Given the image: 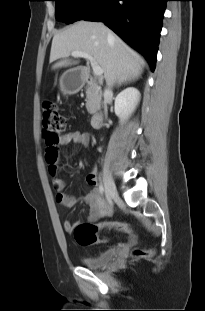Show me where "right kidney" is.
<instances>
[{
  "label": "right kidney",
  "instance_id": "ca27d5eb",
  "mask_svg": "<svg viewBox=\"0 0 205 311\" xmlns=\"http://www.w3.org/2000/svg\"><path fill=\"white\" fill-rule=\"evenodd\" d=\"M140 99V92L134 87L121 91L115 99V113L120 120H126L135 109Z\"/></svg>",
  "mask_w": 205,
  "mask_h": 311
}]
</instances>
